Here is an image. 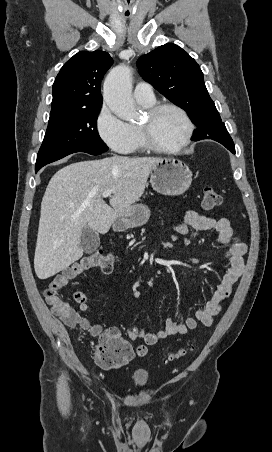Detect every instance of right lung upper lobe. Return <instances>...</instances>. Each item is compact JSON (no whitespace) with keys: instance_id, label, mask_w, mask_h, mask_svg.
<instances>
[{"instance_id":"right-lung-upper-lobe-1","label":"right lung upper lobe","mask_w":272,"mask_h":452,"mask_svg":"<svg viewBox=\"0 0 272 452\" xmlns=\"http://www.w3.org/2000/svg\"><path fill=\"white\" fill-rule=\"evenodd\" d=\"M112 64L110 55L101 50L75 54L55 78L50 115L101 108V80Z\"/></svg>"}]
</instances>
